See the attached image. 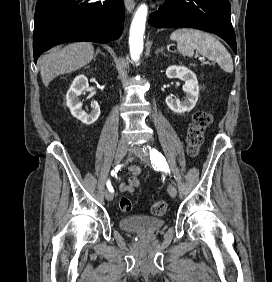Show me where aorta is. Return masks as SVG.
Returning <instances> with one entry per match:
<instances>
[{
	"mask_svg": "<svg viewBox=\"0 0 272 282\" xmlns=\"http://www.w3.org/2000/svg\"><path fill=\"white\" fill-rule=\"evenodd\" d=\"M147 6L142 4L134 14L129 36L130 55L133 61H138L143 51V37L147 18Z\"/></svg>",
	"mask_w": 272,
	"mask_h": 282,
	"instance_id": "obj_1",
	"label": "aorta"
}]
</instances>
